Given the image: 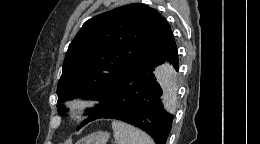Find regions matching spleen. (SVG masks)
I'll return each instance as SVG.
<instances>
[{
    "mask_svg": "<svg viewBox=\"0 0 260 144\" xmlns=\"http://www.w3.org/2000/svg\"><path fill=\"white\" fill-rule=\"evenodd\" d=\"M116 144H154L145 132L121 121H112Z\"/></svg>",
    "mask_w": 260,
    "mask_h": 144,
    "instance_id": "1",
    "label": "spleen"
}]
</instances>
